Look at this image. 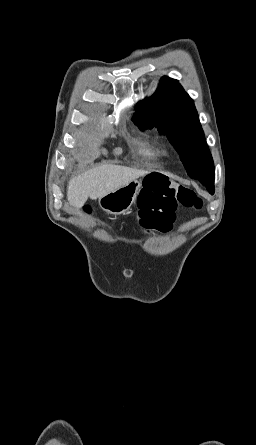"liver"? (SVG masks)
<instances>
[{
  "label": "liver",
  "mask_w": 256,
  "mask_h": 445,
  "mask_svg": "<svg viewBox=\"0 0 256 445\" xmlns=\"http://www.w3.org/2000/svg\"><path fill=\"white\" fill-rule=\"evenodd\" d=\"M148 173L125 166L102 165L72 178L68 183L67 198L79 209L88 198L96 200Z\"/></svg>",
  "instance_id": "1"
}]
</instances>
